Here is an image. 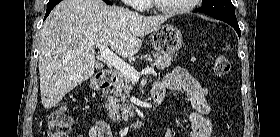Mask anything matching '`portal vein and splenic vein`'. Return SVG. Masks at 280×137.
Instances as JSON below:
<instances>
[{"label":"portal vein and splenic vein","instance_id":"portal-vein-and-splenic-vein-1","mask_svg":"<svg viewBox=\"0 0 280 137\" xmlns=\"http://www.w3.org/2000/svg\"><path fill=\"white\" fill-rule=\"evenodd\" d=\"M100 55L102 59H104L107 63L112 65L115 69H117L121 74L125 75L130 81L136 82L139 80L140 75H147V74H155L154 68L149 67L141 72H138L123 61L121 58H119L116 54H114L107 46L97 45Z\"/></svg>","mask_w":280,"mask_h":137}]
</instances>
